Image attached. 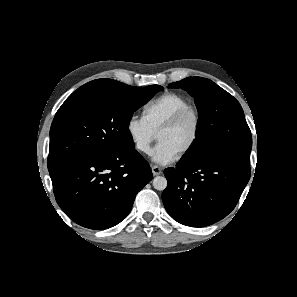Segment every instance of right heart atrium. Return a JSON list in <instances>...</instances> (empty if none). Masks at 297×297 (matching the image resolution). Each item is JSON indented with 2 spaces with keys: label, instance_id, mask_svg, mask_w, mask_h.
<instances>
[{
  "label": "right heart atrium",
  "instance_id": "right-heart-atrium-1",
  "mask_svg": "<svg viewBox=\"0 0 297 297\" xmlns=\"http://www.w3.org/2000/svg\"><path fill=\"white\" fill-rule=\"evenodd\" d=\"M128 136L134 149L141 154H149L156 133L151 129L143 116L131 115L126 123Z\"/></svg>",
  "mask_w": 297,
  "mask_h": 297
}]
</instances>
